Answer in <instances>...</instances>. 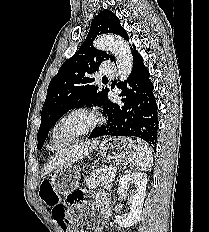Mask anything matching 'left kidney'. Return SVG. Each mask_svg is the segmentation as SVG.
<instances>
[{
  "instance_id": "5707ae66",
  "label": "left kidney",
  "mask_w": 209,
  "mask_h": 232,
  "mask_svg": "<svg viewBox=\"0 0 209 232\" xmlns=\"http://www.w3.org/2000/svg\"><path fill=\"white\" fill-rule=\"evenodd\" d=\"M135 184L136 189L134 190L132 196L128 198L129 202L132 204L130 214L123 218L119 215L115 216V221L120 227H130L140 220L142 213V206L146 194L147 186V175L145 173H127L123 175L118 184V195L124 196L125 190L130 185Z\"/></svg>"
}]
</instances>
